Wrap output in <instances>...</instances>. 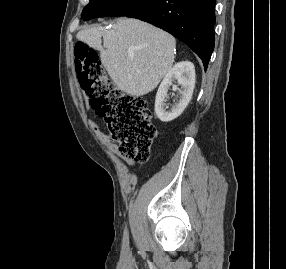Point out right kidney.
Instances as JSON below:
<instances>
[{
    "mask_svg": "<svg viewBox=\"0 0 286 269\" xmlns=\"http://www.w3.org/2000/svg\"><path fill=\"white\" fill-rule=\"evenodd\" d=\"M174 80H177L178 85L181 86L180 98L178 103L172 107L171 111L166 112L167 92ZM194 87L195 68L193 63L182 61L174 65L165 75L156 94L155 113L157 117L162 122H169L181 115L191 100ZM177 89V86L174 85L173 91H176Z\"/></svg>",
    "mask_w": 286,
    "mask_h": 269,
    "instance_id": "1",
    "label": "right kidney"
}]
</instances>
